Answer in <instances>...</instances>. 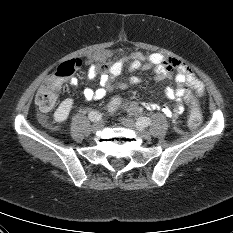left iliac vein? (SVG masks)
I'll return each instance as SVG.
<instances>
[{
  "label": "left iliac vein",
  "mask_w": 233,
  "mask_h": 233,
  "mask_svg": "<svg viewBox=\"0 0 233 233\" xmlns=\"http://www.w3.org/2000/svg\"><path fill=\"white\" fill-rule=\"evenodd\" d=\"M122 123L124 126L131 130H136L140 134V136L144 139H149L150 138V133L146 130L143 129L142 126L136 124L134 121L131 119L124 118L122 119Z\"/></svg>",
  "instance_id": "4c4485c4"
}]
</instances>
